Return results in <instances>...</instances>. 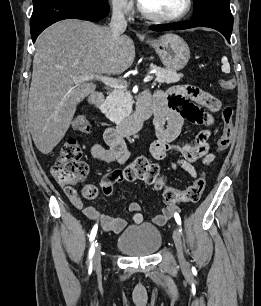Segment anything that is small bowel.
<instances>
[{
    "label": "small bowel",
    "instance_id": "1",
    "mask_svg": "<svg viewBox=\"0 0 261 306\" xmlns=\"http://www.w3.org/2000/svg\"><path fill=\"white\" fill-rule=\"evenodd\" d=\"M142 99L151 104L154 113L157 138L150 146L152 156L158 161L167 163L173 170H181L195 177L196 169L193 165L195 161L200 160L204 164H209L214 159V154L210 152L209 146L211 130H202L193 139L182 144H175V140L180 135L185 120L196 125L212 126L214 124L212 113L221 109L220 100L192 85L177 86L168 92L156 91L152 97L145 94ZM104 139L105 145L95 143L91 146V156L107 163L125 162L128 151L123 137L113 129H109ZM171 152L178 153L180 158L170 159ZM118 171L109 173L102 181L103 191L108 196L113 194L114 186L119 183L112 181L110 176ZM92 187L94 186H84L82 193L85 195L86 190ZM65 191L72 204L86 217L100 223L104 231L118 234L126 228L127 223L123 219L111 217L93 206L85 205L73 189L65 188ZM175 210H177L175 205H167L160 214L154 216L153 223L158 226L166 224L172 218ZM130 211L133 212V222L141 224L143 215L139 205L132 203Z\"/></svg>",
    "mask_w": 261,
    "mask_h": 306
}]
</instances>
